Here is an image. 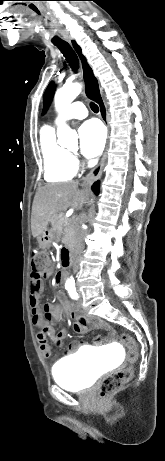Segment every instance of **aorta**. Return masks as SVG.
Returning a JSON list of instances; mask_svg holds the SVG:
<instances>
[{
    "mask_svg": "<svg viewBox=\"0 0 165 461\" xmlns=\"http://www.w3.org/2000/svg\"><path fill=\"white\" fill-rule=\"evenodd\" d=\"M81 85L79 83L65 84L62 88L57 90L54 102L55 108L58 112H61L68 107L74 99L80 94ZM57 137L59 145L71 148L77 145V134L70 129L69 126L62 123L58 126Z\"/></svg>",
    "mask_w": 165,
    "mask_h": 461,
    "instance_id": "aorta-1",
    "label": "aorta"
}]
</instances>
